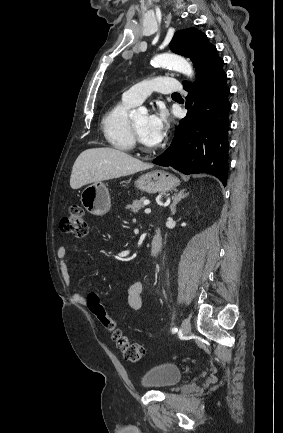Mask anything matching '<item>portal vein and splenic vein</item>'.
I'll use <instances>...</instances> for the list:
<instances>
[{
	"instance_id": "obj_1",
	"label": "portal vein and splenic vein",
	"mask_w": 283,
	"mask_h": 433,
	"mask_svg": "<svg viewBox=\"0 0 283 433\" xmlns=\"http://www.w3.org/2000/svg\"><path fill=\"white\" fill-rule=\"evenodd\" d=\"M144 212H151V208H145Z\"/></svg>"
}]
</instances>
